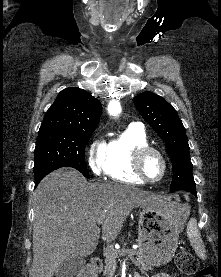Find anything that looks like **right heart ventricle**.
<instances>
[{"label":"right heart ventricle","instance_id":"obj_1","mask_svg":"<svg viewBox=\"0 0 221 277\" xmlns=\"http://www.w3.org/2000/svg\"><path fill=\"white\" fill-rule=\"evenodd\" d=\"M149 145L148 137L142 128L129 126L122 134L112 138L105 147L103 172L115 181L141 184L132 169V157L135 150Z\"/></svg>","mask_w":221,"mask_h":277}]
</instances>
